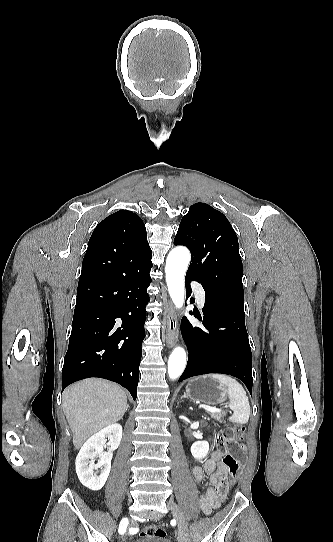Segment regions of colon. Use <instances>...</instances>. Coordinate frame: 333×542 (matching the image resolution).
<instances>
[{"mask_svg":"<svg viewBox=\"0 0 333 542\" xmlns=\"http://www.w3.org/2000/svg\"><path fill=\"white\" fill-rule=\"evenodd\" d=\"M245 434L242 425H225L218 430L217 446L225 454L224 463L230 470L229 481H223L219 486V493L226 495L237 480L242 469L241 452L235 451L236 443L240 442ZM142 539H163L164 530L157 524L147 525L140 534Z\"/></svg>","mask_w":333,"mask_h":542,"instance_id":"5ec220e1","label":"colon"}]
</instances>
